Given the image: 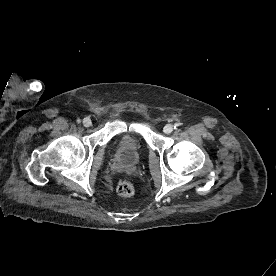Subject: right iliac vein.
Returning <instances> with one entry per match:
<instances>
[{"label": "right iliac vein", "instance_id": "63e3f726", "mask_svg": "<svg viewBox=\"0 0 276 276\" xmlns=\"http://www.w3.org/2000/svg\"><path fill=\"white\" fill-rule=\"evenodd\" d=\"M82 123H83V125H84L85 127H90L91 124H92V121H91L90 118L87 117V118H84V119H83Z\"/></svg>", "mask_w": 276, "mask_h": 276}]
</instances>
